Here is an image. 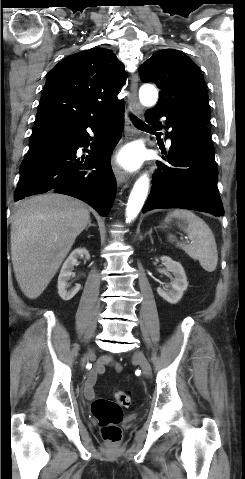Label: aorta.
I'll return each instance as SVG.
<instances>
[{"label": "aorta", "mask_w": 245, "mask_h": 479, "mask_svg": "<svg viewBox=\"0 0 245 479\" xmlns=\"http://www.w3.org/2000/svg\"><path fill=\"white\" fill-rule=\"evenodd\" d=\"M140 102L144 106H153L158 99V91L154 86L144 85L139 91ZM149 189V179L146 175L141 176L134 184L130 193L127 208L126 221L134 220L142 209Z\"/></svg>", "instance_id": "aorta-1"}]
</instances>
